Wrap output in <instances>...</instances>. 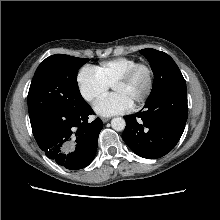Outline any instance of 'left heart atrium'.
<instances>
[{
    "label": "left heart atrium",
    "mask_w": 220,
    "mask_h": 220,
    "mask_svg": "<svg viewBox=\"0 0 220 220\" xmlns=\"http://www.w3.org/2000/svg\"><path fill=\"white\" fill-rule=\"evenodd\" d=\"M132 102L121 94H111L103 97L94 104V111L100 116H113L128 112Z\"/></svg>",
    "instance_id": "left-heart-atrium-1"
}]
</instances>
